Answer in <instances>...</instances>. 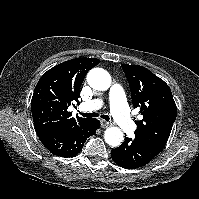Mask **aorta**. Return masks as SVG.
<instances>
[{
    "label": "aorta",
    "mask_w": 199,
    "mask_h": 199,
    "mask_svg": "<svg viewBox=\"0 0 199 199\" xmlns=\"http://www.w3.org/2000/svg\"><path fill=\"white\" fill-rule=\"evenodd\" d=\"M88 84L95 90L105 91L111 85L110 74L102 68H93L87 74ZM106 143L112 147L119 146L123 141V133L118 127H109L104 134Z\"/></svg>",
    "instance_id": "aorta-1"
}]
</instances>
